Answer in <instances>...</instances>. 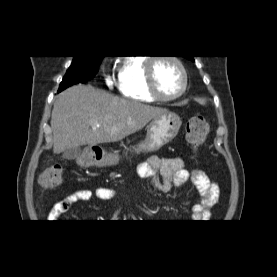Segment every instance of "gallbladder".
I'll return each mask as SVG.
<instances>
[{
  "label": "gallbladder",
  "mask_w": 277,
  "mask_h": 277,
  "mask_svg": "<svg viewBox=\"0 0 277 277\" xmlns=\"http://www.w3.org/2000/svg\"><path fill=\"white\" fill-rule=\"evenodd\" d=\"M80 154H81L80 147H72V148L66 149L63 152L62 157L64 159L73 160V159L77 158Z\"/></svg>",
  "instance_id": "gallbladder-1"
}]
</instances>
